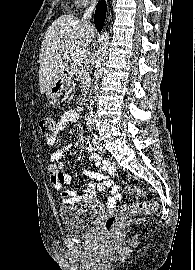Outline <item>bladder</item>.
<instances>
[{"mask_svg": "<svg viewBox=\"0 0 195 270\" xmlns=\"http://www.w3.org/2000/svg\"><path fill=\"white\" fill-rule=\"evenodd\" d=\"M59 216L64 230L72 235H90L98 217V209L91 205L62 207Z\"/></svg>", "mask_w": 195, "mask_h": 270, "instance_id": "obj_1", "label": "bladder"}]
</instances>
